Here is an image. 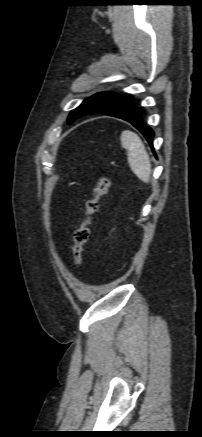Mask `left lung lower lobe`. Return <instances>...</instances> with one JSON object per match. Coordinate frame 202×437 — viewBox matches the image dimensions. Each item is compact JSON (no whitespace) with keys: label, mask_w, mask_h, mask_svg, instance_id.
<instances>
[{"label":"left lung lower lobe","mask_w":202,"mask_h":437,"mask_svg":"<svg viewBox=\"0 0 202 437\" xmlns=\"http://www.w3.org/2000/svg\"><path fill=\"white\" fill-rule=\"evenodd\" d=\"M105 114H107L108 116L120 118L127 122H130L136 129H138L144 135V137L146 138V140L149 142V144L153 149L152 141L154 137V132L150 127H148L144 123L139 107L127 103Z\"/></svg>","instance_id":"1"}]
</instances>
